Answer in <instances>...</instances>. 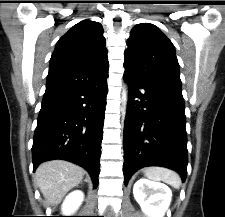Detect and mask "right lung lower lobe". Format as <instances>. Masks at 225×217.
Wrapping results in <instances>:
<instances>
[{"instance_id": "98d812e1", "label": "right lung lower lobe", "mask_w": 225, "mask_h": 217, "mask_svg": "<svg viewBox=\"0 0 225 217\" xmlns=\"http://www.w3.org/2000/svg\"><path fill=\"white\" fill-rule=\"evenodd\" d=\"M107 78L83 88L44 95L35 129L33 169L64 159L84 167L98 184Z\"/></svg>"}]
</instances>
